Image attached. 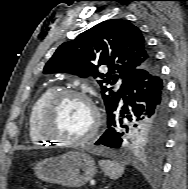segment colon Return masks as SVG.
<instances>
[{
	"instance_id": "5ec220e1",
	"label": "colon",
	"mask_w": 188,
	"mask_h": 189,
	"mask_svg": "<svg viewBox=\"0 0 188 189\" xmlns=\"http://www.w3.org/2000/svg\"><path fill=\"white\" fill-rule=\"evenodd\" d=\"M19 189H27L26 187H24V186H22V187H20Z\"/></svg>"
}]
</instances>
